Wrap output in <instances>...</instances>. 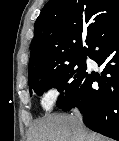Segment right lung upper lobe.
Masks as SVG:
<instances>
[{"instance_id": "obj_1", "label": "right lung upper lobe", "mask_w": 119, "mask_h": 141, "mask_svg": "<svg viewBox=\"0 0 119 141\" xmlns=\"http://www.w3.org/2000/svg\"><path fill=\"white\" fill-rule=\"evenodd\" d=\"M116 20L119 0H50L34 25L29 75L86 57L105 27Z\"/></svg>"}]
</instances>
